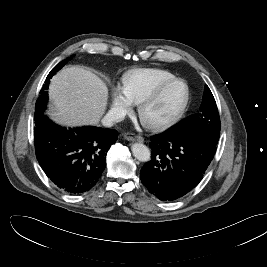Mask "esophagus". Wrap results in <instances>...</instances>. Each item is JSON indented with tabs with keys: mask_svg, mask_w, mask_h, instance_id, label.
<instances>
[{
	"mask_svg": "<svg viewBox=\"0 0 267 267\" xmlns=\"http://www.w3.org/2000/svg\"><path fill=\"white\" fill-rule=\"evenodd\" d=\"M124 139L128 140V141H137V142H143L144 139L143 137L133 134V133H127L124 135Z\"/></svg>",
	"mask_w": 267,
	"mask_h": 267,
	"instance_id": "esophagus-1",
	"label": "esophagus"
}]
</instances>
